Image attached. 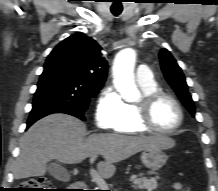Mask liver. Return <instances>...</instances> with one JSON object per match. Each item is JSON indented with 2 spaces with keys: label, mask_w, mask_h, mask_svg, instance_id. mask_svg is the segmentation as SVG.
I'll return each instance as SVG.
<instances>
[{
  "label": "liver",
  "mask_w": 218,
  "mask_h": 191,
  "mask_svg": "<svg viewBox=\"0 0 218 191\" xmlns=\"http://www.w3.org/2000/svg\"><path fill=\"white\" fill-rule=\"evenodd\" d=\"M86 126L66 114L49 115L24 134L16 160V179L45 175L47 163L58 160L65 164L80 163L101 154L104 161L97 166L101 176L110 178L115 163L149 148L170 149L175 142L166 136H127L122 134H92L85 138Z\"/></svg>",
  "instance_id": "liver-1"
}]
</instances>
